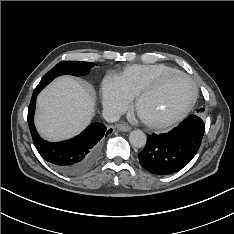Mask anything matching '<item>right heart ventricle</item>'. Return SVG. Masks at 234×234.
<instances>
[{
    "instance_id": "1",
    "label": "right heart ventricle",
    "mask_w": 234,
    "mask_h": 234,
    "mask_svg": "<svg viewBox=\"0 0 234 234\" xmlns=\"http://www.w3.org/2000/svg\"><path fill=\"white\" fill-rule=\"evenodd\" d=\"M178 71L164 64L131 65L124 68L115 78L122 92L130 99L151 85L164 74Z\"/></svg>"
}]
</instances>
